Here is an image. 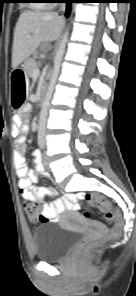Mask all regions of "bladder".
<instances>
[{"instance_id":"1","label":"bladder","mask_w":136,"mask_h":296,"mask_svg":"<svg viewBox=\"0 0 136 296\" xmlns=\"http://www.w3.org/2000/svg\"><path fill=\"white\" fill-rule=\"evenodd\" d=\"M78 233L54 222L37 226L32 233L35 258L42 262L62 259L76 243Z\"/></svg>"}]
</instances>
